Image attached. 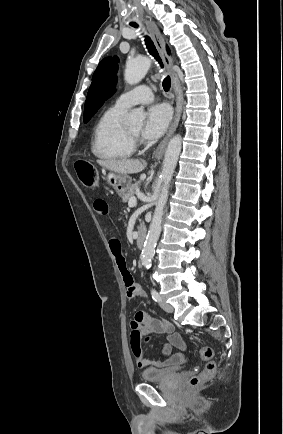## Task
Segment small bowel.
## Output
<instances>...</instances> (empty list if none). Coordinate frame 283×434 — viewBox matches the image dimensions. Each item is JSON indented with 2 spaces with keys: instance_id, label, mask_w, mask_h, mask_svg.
<instances>
[{
  "instance_id": "1",
  "label": "small bowel",
  "mask_w": 283,
  "mask_h": 434,
  "mask_svg": "<svg viewBox=\"0 0 283 434\" xmlns=\"http://www.w3.org/2000/svg\"><path fill=\"white\" fill-rule=\"evenodd\" d=\"M94 210L97 214L107 215L109 207L106 200L98 198L93 203ZM110 250L115 257L117 267L122 275L127 288V296L130 299L136 297H145L142 289L137 285L127 266L125 258L121 251V244L118 239L111 238L109 241ZM130 343L131 350L135 361L140 368H168L180 365L184 361L182 352L172 354L175 347L181 351L186 348L185 342L181 335L175 330L173 324L167 320L157 319L147 312H137L130 321ZM148 334H161L166 336V342L162 345V359L150 361L142 350V338ZM148 341V338H145Z\"/></svg>"
}]
</instances>
